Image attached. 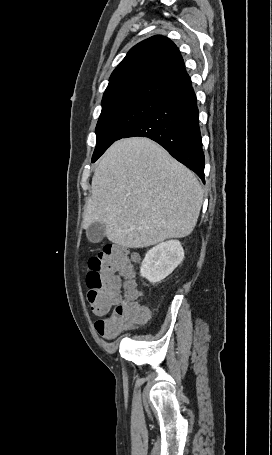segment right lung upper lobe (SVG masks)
<instances>
[{
    "label": "right lung upper lobe",
    "mask_w": 272,
    "mask_h": 455,
    "mask_svg": "<svg viewBox=\"0 0 272 455\" xmlns=\"http://www.w3.org/2000/svg\"><path fill=\"white\" fill-rule=\"evenodd\" d=\"M191 87V79L176 45L170 39L156 35L131 48L115 68L102 105L133 97L165 102Z\"/></svg>",
    "instance_id": "cb5924a9"
}]
</instances>
